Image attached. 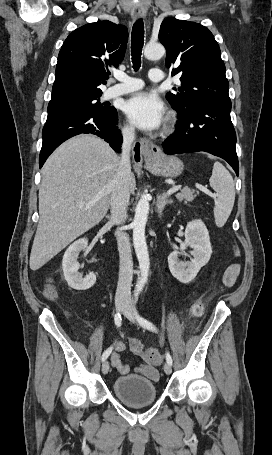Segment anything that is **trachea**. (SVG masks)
Instances as JSON below:
<instances>
[{
  "label": "trachea",
  "instance_id": "trachea-1",
  "mask_svg": "<svg viewBox=\"0 0 272 455\" xmlns=\"http://www.w3.org/2000/svg\"><path fill=\"white\" fill-rule=\"evenodd\" d=\"M144 44V24L142 19H138L132 28L131 34V55L133 69L139 70L141 66V53Z\"/></svg>",
  "mask_w": 272,
  "mask_h": 455
}]
</instances>
